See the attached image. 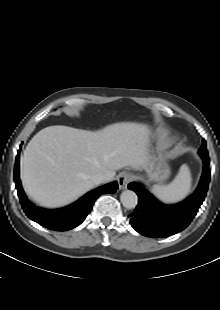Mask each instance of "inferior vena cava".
<instances>
[{
	"label": "inferior vena cava",
	"mask_w": 220,
	"mask_h": 310,
	"mask_svg": "<svg viewBox=\"0 0 220 310\" xmlns=\"http://www.w3.org/2000/svg\"><path fill=\"white\" fill-rule=\"evenodd\" d=\"M107 180H108L107 176L104 175V174H102V173H97V174H95V175H93V176L91 177V181H92V183L95 184V185H98V184H100V183H103V182H105V181H107Z\"/></svg>",
	"instance_id": "1"
}]
</instances>
